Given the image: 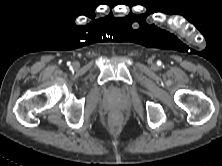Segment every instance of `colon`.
Returning a JSON list of instances; mask_svg holds the SVG:
<instances>
[{
  "instance_id": "colon-1",
  "label": "colon",
  "mask_w": 222,
  "mask_h": 166,
  "mask_svg": "<svg viewBox=\"0 0 222 166\" xmlns=\"http://www.w3.org/2000/svg\"><path fill=\"white\" fill-rule=\"evenodd\" d=\"M111 119H112L113 123H117L119 121V116L117 114H115V115L112 116Z\"/></svg>"
}]
</instances>
